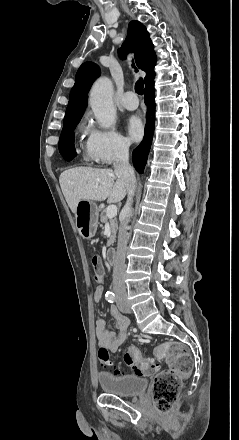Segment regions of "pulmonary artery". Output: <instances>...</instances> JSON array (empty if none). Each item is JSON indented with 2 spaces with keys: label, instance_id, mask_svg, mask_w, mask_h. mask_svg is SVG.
<instances>
[{
  "label": "pulmonary artery",
  "instance_id": "e3ab8cb5",
  "mask_svg": "<svg viewBox=\"0 0 239 440\" xmlns=\"http://www.w3.org/2000/svg\"><path fill=\"white\" fill-rule=\"evenodd\" d=\"M134 95L135 93L133 91L126 92L120 100V105L127 110H135L139 104L137 102H131L129 100V98Z\"/></svg>",
  "mask_w": 239,
  "mask_h": 440
}]
</instances>
